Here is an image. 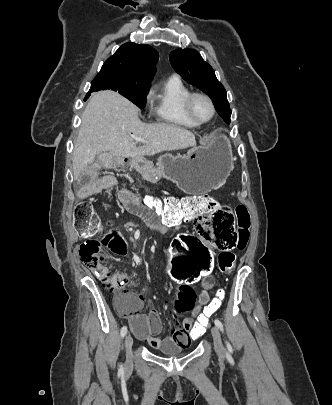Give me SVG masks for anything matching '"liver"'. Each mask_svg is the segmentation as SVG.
Segmentation results:
<instances>
[{"label":"liver","instance_id":"6515ba94","mask_svg":"<svg viewBox=\"0 0 332 405\" xmlns=\"http://www.w3.org/2000/svg\"><path fill=\"white\" fill-rule=\"evenodd\" d=\"M136 138L147 142L136 147ZM190 146H196V140L189 130L168 123L144 124L130 101L114 91H99L93 94L82 115L72 158L74 179L99 154L104 165L112 167L115 158L153 156Z\"/></svg>","mask_w":332,"mask_h":405}]
</instances>
